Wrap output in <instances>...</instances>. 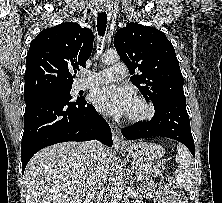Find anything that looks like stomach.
Wrapping results in <instances>:
<instances>
[{
  "label": "stomach",
  "mask_w": 222,
  "mask_h": 203,
  "mask_svg": "<svg viewBox=\"0 0 222 203\" xmlns=\"http://www.w3.org/2000/svg\"><path fill=\"white\" fill-rule=\"evenodd\" d=\"M123 153L136 161H152L164 156L165 150L158 144L141 141L123 148Z\"/></svg>",
  "instance_id": "0dacf381"
}]
</instances>
